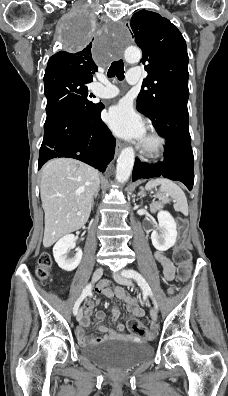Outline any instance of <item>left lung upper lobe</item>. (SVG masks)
<instances>
[{
  "label": "left lung upper lobe",
  "mask_w": 228,
  "mask_h": 396,
  "mask_svg": "<svg viewBox=\"0 0 228 396\" xmlns=\"http://www.w3.org/2000/svg\"><path fill=\"white\" fill-rule=\"evenodd\" d=\"M130 26L148 73L137 98V109L153 120L163 105L188 99L186 42L176 26L155 12L140 10L132 16Z\"/></svg>",
  "instance_id": "left-lung-upper-lobe-1"
}]
</instances>
